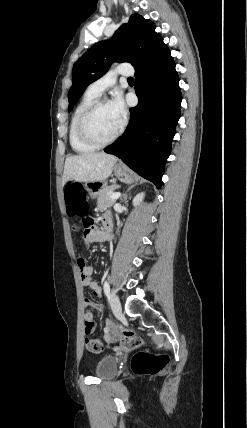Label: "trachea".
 Here are the masks:
<instances>
[{
	"label": "trachea",
	"instance_id": "1",
	"mask_svg": "<svg viewBox=\"0 0 247 428\" xmlns=\"http://www.w3.org/2000/svg\"><path fill=\"white\" fill-rule=\"evenodd\" d=\"M128 81H134V80H133V78L129 77V78H128Z\"/></svg>",
	"mask_w": 247,
	"mask_h": 428
}]
</instances>
